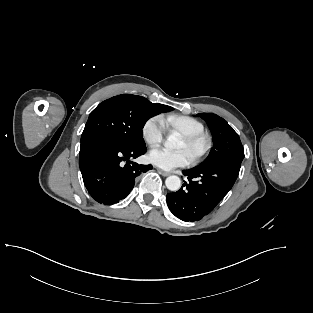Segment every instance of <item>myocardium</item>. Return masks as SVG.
Here are the masks:
<instances>
[{
	"label": "myocardium",
	"mask_w": 313,
	"mask_h": 313,
	"mask_svg": "<svg viewBox=\"0 0 313 313\" xmlns=\"http://www.w3.org/2000/svg\"><path fill=\"white\" fill-rule=\"evenodd\" d=\"M182 139L191 147L200 146L197 153L191 158L192 164L202 162L212 149V138L206 132L184 135Z\"/></svg>",
	"instance_id": "f54148a6"
}]
</instances>
